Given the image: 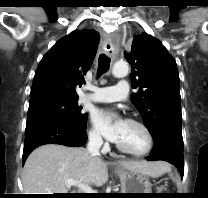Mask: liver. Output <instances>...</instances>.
Returning a JSON list of instances; mask_svg holds the SVG:
<instances>
[{
    "label": "liver",
    "mask_w": 208,
    "mask_h": 198,
    "mask_svg": "<svg viewBox=\"0 0 208 198\" xmlns=\"http://www.w3.org/2000/svg\"><path fill=\"white\" fill-rule=\"evenodd\" d=\"M131 172L159 177L166 171L163 162L120 161ZM108 163L91 156L85 149L59 144H46L27 158L22 174L24 194L68 193L67 179L100 187L108 181Z\"/></svg>",
    "instance_id": "obj_1"
}]
</instances>
